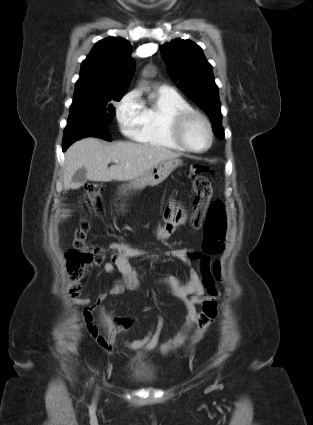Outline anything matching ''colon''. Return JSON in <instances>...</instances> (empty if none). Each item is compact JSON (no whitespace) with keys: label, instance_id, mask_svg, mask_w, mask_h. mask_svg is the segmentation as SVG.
<instances>
[{"label":"colon","instance_id":"obj_1","mask_svg":"<svg viewBox=\"0 0 313 425\" xmlns=\"http://www.w3.org/2000/svg\"><path fill=\"white\" fill-rule=\"evenodd\" d=\"M212 173L209 166L195 164L188 170L195 193L193 202L192 225L200 227L204 225V243L201 252L190 250L188 258L196 261L198 270L202 276L205 295L213 300H218L220 291L216 286V280L221 276V265L215 262L211 267L210 257L224 250L227 231L226 214L221 201L216 200L211 206L208 202L212 197L213 188L206 174ZM103 185L101 183H90L85 187V195L89 204L99 208ZM89 231V222L86 219L80 221L74 230L72 247L67 253V268L71 277L70 292L74 295L80 292L81 280L87 269L93 265L96 248L86 244V236Z\"/></svg>","mask_w":313,"mask_h":425}]
</instances>
